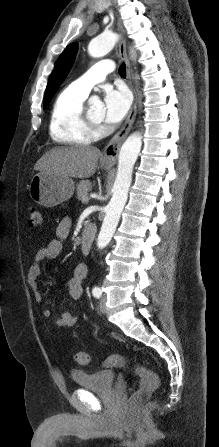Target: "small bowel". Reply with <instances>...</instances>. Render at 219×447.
Instances as JSON below:
<instances>
[{
    "mask_svg": "<svg viewBox=\"0 0 219 447\" xmlns=\"http://www.w3.org/2000/svg\"><path fill=\"white\" fill-rule=\"evenodd\" d=\"M71 226V219L69 217L63 218L57 225L56 237L49 240L45 247L37 250L34 254V263L28 271L27 283L37 302H41L43 298L39 288L40 264L44 260L56 259L60 255L63 248L62 241L69 235ZM87 272V266L84 263H79L75 266L72 276L66 281L69 295L75 301L82 296V284L87 276ZM50 315L51 311L48 308L42 310L43 317L48 318ZM77 320V315L65 311L54 320V324L58 327H71L76 324Z\"/></svg>",
    "mask_w": 219,
    "mask_h": 447,
    "instance_id": "1",
    "label": "small bowel"
}]
</instances>
